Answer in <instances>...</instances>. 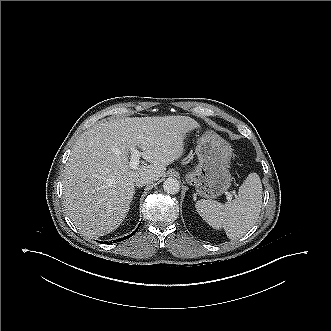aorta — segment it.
Instances as JSON below:
<instances>
[{"instance_id":"aorta-1","label":"aorta","mask_w":331,"mask_h":331,"mask_svg":"<svg viewBox=\"0 0 331 331\" xmlns=\"http://www.w3.org/2000/svg\"><path fill=\"white\" fill-rule=\"evenodd\" d=\"M163 189L166 193L175 195L180 191V183L177 179L169 177L164 181Z\"/></svg>"}]
</instances>
